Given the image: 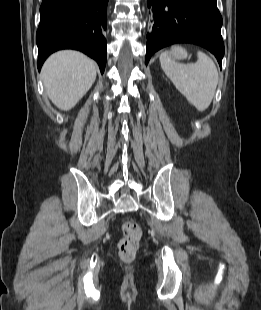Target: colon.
<instances>
[{
  "label": "colon",
  "mask_w": 261,
  "mask_h": 310,
  "mask_svg": "<svg viewBox=\"0 0 261 310\" xmlns=\"http://www.w3.org/2000/svg\"><path fill=\"white\" fill-rule=\"evenodd\" d=\"M122 238L118 243V255L125 262L132 261L139 248L142 237L141 226L133 221L127 220L121 226Z\"/></svg>",
  "instance_id": "colon-1"
}]
</instances>
